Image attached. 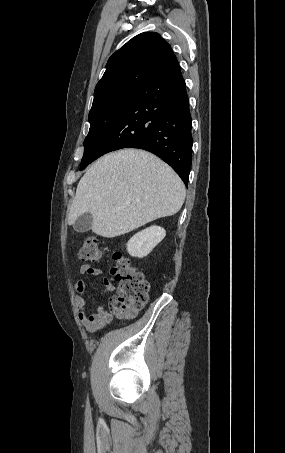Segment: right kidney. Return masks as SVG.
<instances>
[{
    "label": "right kidney",
    "mask_w": 285,
    "mask_h": 453,
    "mask_svg": "<svg viewBox=\"0 0 285 453\" xmlns=\"http://www.w3.org/2000/svg\"><path fill=\"white\" fill-rule=\"evenodd\" d=\"M166 235L164 228L151 226L136 233L127 243V251L133 257H146Z\"/></svg>",
    "instance_id": "ca27d5eb"
}]
</instances>
